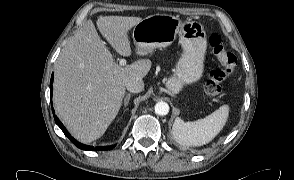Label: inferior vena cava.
<instances>
[{"label": "inferior vena cava", "mask_w": 294, "mask_h": 180, "mask_svg": "<svg viewBox=\"0 0 294 180\" xmlns=\"http://www.w3.org/2000/svg\"><path fill=\"white\" fill-rule=\"evenodd\" d=\"M126 88L131 93H139L144 89V82L141 79H131L127 82Z\"/></svg>", "instance_id": "1"}]
</instances>
